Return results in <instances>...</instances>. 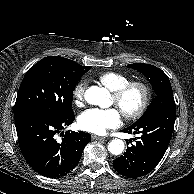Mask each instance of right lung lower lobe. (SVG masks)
<instances>
[{
	"label": "right lung lower lobe",
	"mask_w": 194,
	"mask_h": 194,
	"mask_svg": "<svg viewBox=\"0 0 194 194\" xmlns=\"http://www.w3.org/2000/svg\"><path fill=\"white\" fill-rule=\"evenodd\" d=\"M21 152L30 167L42 176L59 178L67 175L79 163L90 134L67 131L62 142L54 138L64 126L74 121V113L55 116L41 110L14 113Z\"/></svg>",
	"instance_id": "obj_1"
}]
</instances>
